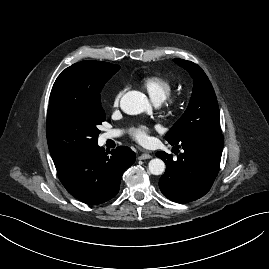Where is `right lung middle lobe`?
I'll use <instances>...</instances> for the list:
<instances>
[{
    "label": "right lung middle lobe",
    "instance_id": "right-lung-middle-lobe-1",
    "mask_svg": "<svg viewBox=\"0 0 269 269\" xmlns=\"http://www.w3.org/2000/svg\"><path fill=\"white\" fill-rule=\"evenodd\" d=\"M119 68L82 61L58 76L47 111V142L53 161L97 145L98 126L105 121L100 92ZM87 83L92 85L89 90Z\"/></svg>",
    "mask_w": 269,
    "mask_h": 269
}]
</instances>
